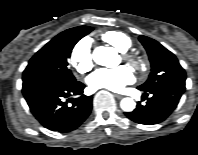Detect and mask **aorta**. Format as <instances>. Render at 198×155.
I'll list each match as a JSON object with an SVG mask.
<instances>
[{
    "instance_id": "762f6f07",
    "label": "aorta",
    "mask_w": 198,
    "mask_h": 155,
    "mask_svg": "<svg viewBox=\"0 0 198 155\" xmlns=\"http://www.w3.org/2000/svg\"><path fill=\"white\" fill-rule=\"evenodd\" d=\"M94 61L101 66L115 67L119 63V56L113 48L99 46L93 51ZM121 109L131 112L135 109L136 103L132 98H123L120 102Z\"/></svg>"
}]
</instances>
